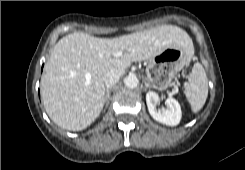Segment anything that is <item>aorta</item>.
I'll use <instances>...</instances> for the list:
<instances>
[{
  "instance_id": "762f6f07",
  "label": "aorta",
  "mask_w": 245,
  "mask_h": 170,
  "mask_svg": "<svg viewBox=\"0 0 245 170\" xmlns=\"http://www.w3.org/2000/svg\"><path fill=\"white\" fill-rule=\"evenodd\" d=\"M124 83L128 88H135L138 85V78L135 75H129L125 78Z\"/></svg>"
}]
</instances>
